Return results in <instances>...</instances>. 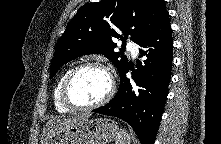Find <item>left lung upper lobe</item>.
Returning <instances> with one entry per match:
<instances>
[{"label":"left lung upper lobe","instance_id":"1","mask_svg":"<svg viewBox=\"0 0 221 144\" xmlns=\"http://www.w3.org/2000/svg\"><path fill=\"white\" fill-rule=\"evenodd\" d=\"M166 13L164 0H101L83 5L56 45L50 78L67 62L94 53L106 56L120 72L128 59L114 51L115 41H125L130 35L139 44L152 34Z\"/></svg>","mask_w":221,"mask_h":144}]
</instances>
